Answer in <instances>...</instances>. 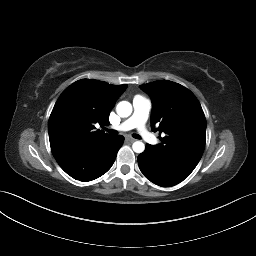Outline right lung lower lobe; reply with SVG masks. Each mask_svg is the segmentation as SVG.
<instances>
[{
  "instance_id": "obj_1",
  "label": "right lung lower lobe",
  "mask_w": 256,
  "mask_h": 256,
  "mask_svg": "<svg viewBox=\"0 0 256 256\" xmlns=\"http://www.w3.org/2000/svg\"><path fill=\"white\" fill-rule=\"evenodd\" d=\"M123 141L124 137L121 135L104 138L55 159L72 178L83 182L91 181L111 168Z\"/></svg>"
}]
</instances>
